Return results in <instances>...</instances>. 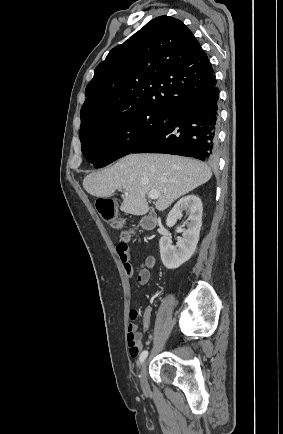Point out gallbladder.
I'll return each instance as SVG.
<instances>
[{
  "mask_svg": "<svg viewBox=\"0 0 283 434\" xmlns=\"http://www.w3.org/2000/svg\"><path fill=\"white\" fill-rule=\"evenodd\" d=\"M140 223H141L142 228H144L146 230H152L156 225L155 218L152 215H148V216L143 217L141 219Z\"/></svg>",
  "mask_w": 283,
  "mask_h": 434,
  "instance_id": "1",
  "label": "gallbladder"
}]
</instances>
